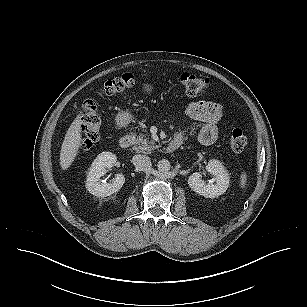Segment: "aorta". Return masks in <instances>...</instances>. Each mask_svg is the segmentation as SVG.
Instances as JSON below:
<instances>
[{
	"label": "aorta",
	"instance_id": "1",
	"mask_svg": "<svg viewBox=\"0 0 307 307\" xmlns=\"http://www.w3.org/2000/svg\"><path fill=\"white\" fill-rule=\"evenodd\" d=\"M170 167H171L170 162L167 159H162L157 163V168L159 172L162 173L168 172L170 170Z\"/></svg>",
	"mask_w": 307,
	"mask_h": 307
}]
</instances>
